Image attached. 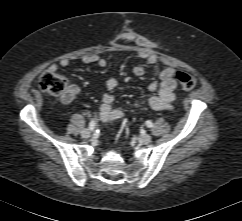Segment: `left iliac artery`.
<instances>
[{"label": "left iliac artery", "mask_w": 242, "mask_h": 221, "mask_svg": "<svg viewBox=\"0 0 242 221\" xmlns=\"http://www.w3.org/2000/svg\"><path fill=\"white\" fill-rule=\"evenodd\" d=\"M146 125H147V127H149V128H151V127H153V123L151 122V121H146Z\"/></svg>", "instance_id": "1"}]
</instances>
